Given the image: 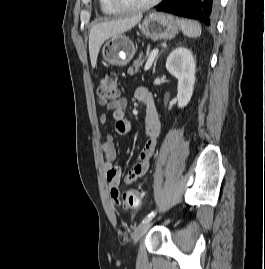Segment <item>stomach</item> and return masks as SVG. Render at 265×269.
Wrapping results in <instances>:
<instances>
[{
  "instance_id": "obj_1",
  "label": "stomach",
  "mask_w": 265,
  "mask_h": 269,
  "mask_svg": "<svg viewBox=\"0 0 265 269\" xmlns=\"http://www.w3.org/2000/svg\"><path fill=\"white\" fill-rule=\"evenodd\" d=\"M139 28L152 39H172L178 33V24L173 16L151 13L145 17ZM133 42L123 34L109 38L102 48L103 59L115 66L128 64L135 54Z\"/></svg>"
}]
</instances>
